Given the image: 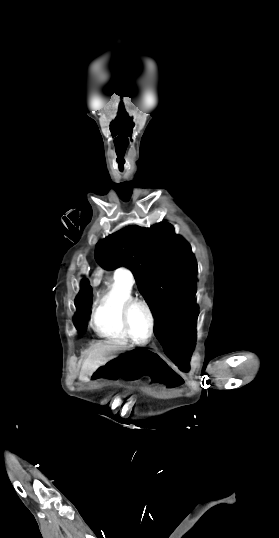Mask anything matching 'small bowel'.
I'll use <instances>...</instances> for the list:
<instances>
[{
	"label": "small bowel",
	"instance_id": "small-bowel-1",
	"mask_svg": "<svg viewBox=\"0 0 279 538\" xmlns=\"http://www.w3.org/2000/svg\"><path fill=\"white\" fill-rule=\"evenodd\" d=\"M151 381L162 387L173 389L182 385L181 378L172 370H160L151 375Z\"/></svg>",
	"mask_w": 279,
	"mask_h": 538
}]
</instances>
